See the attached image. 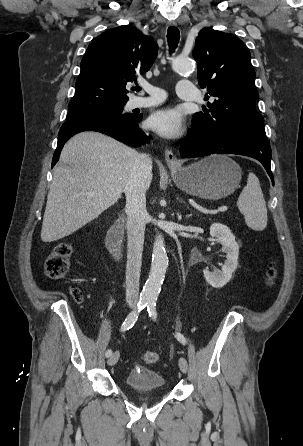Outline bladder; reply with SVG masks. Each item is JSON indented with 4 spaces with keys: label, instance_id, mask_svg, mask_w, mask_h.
<instances>
[{
    "label": "bladder",
    "instance_id": "obj_1",
    "mask_svg": "<svg viewBox=\"0 0 303 446\" xmlns=\"http://www.w3.org/2000/svg\"><path fill=\"white\" fill-rule=\"evenodd\" d=\"M126 386L133 391H159L164 389V376L145 367H133L125 377Z\"/></svg>",
    "mask_w": 303,
    "mask_h": 446
}]
</instances>
